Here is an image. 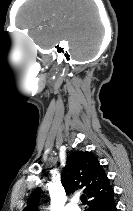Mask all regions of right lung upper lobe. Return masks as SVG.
I'll return each instance as SVG.
<instances>
[{"mask_svg":"<svg viewBox=\"0 0 133 211\" xmlns=\"http://www.w3.org/2000/svg\"><path fill=\"white\" fill-rule=\"evenodd\" d=\"M67 194L83 189L89 201V210L114 199V192L97 157L91 152L77 151L69 155L61 175ZM41 191L35 189L23 211H37Z\"/></svg>","mask_w":133,"mask_h":211,"instance_id":"right-lung-upper-lobe-1","label":"right lung upper lobe"}]
</instances>
